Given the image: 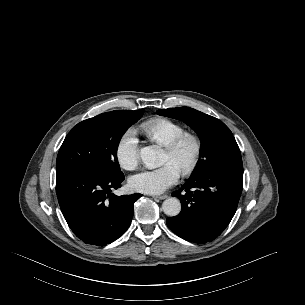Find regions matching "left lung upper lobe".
I'll list each match as a JSON object with an SVG mask.
<instances>
[{
	"label": "left lung upper lobe",
	"mask_w": 305,
	"mask_h": 305,
	"mask_svg": "<svg viewBox=\"0 0 305 305\" xmlns=\"http://www.w3.org/2000/svg\"><path fill=\"white\" fill-rule=\"evenodd\" d=\"M157 114L183 120L199 135L201 159L192 177L224 162L241 159V153L232 132L219 119L189 107L162 109L158 110Z\"/></svg>",
	"instance_id": "left-lung-upper-lobe-1"
}]
</instances>
